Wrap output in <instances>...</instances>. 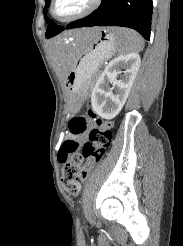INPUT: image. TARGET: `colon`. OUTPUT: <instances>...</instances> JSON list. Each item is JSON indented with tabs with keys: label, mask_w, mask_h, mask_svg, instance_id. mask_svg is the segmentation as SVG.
Wrapping results in <instances>:
<instances>
[{
	"label": "colon",
	"mask_w": 183,
	"mask_h": 246,
	"mask_svg": "<svg viewBox=\"0 0 183 246\" xmlns=\"http://www.w3.org/2000/svg\"><path fill=\"white\" fill-rule=\"evenodd\" d=\"M90 125L88 141L81 147L75 140L66 139L59 149L58 158L63 164L62 184L70 195H78L81 182L85 181L93 167L102 159L112 133L111 125L97 118L91 111H85L73 118L70 130L74 134L85 133Z\"/></svg>",
	"instance_id": "1"
}]
</instances>
